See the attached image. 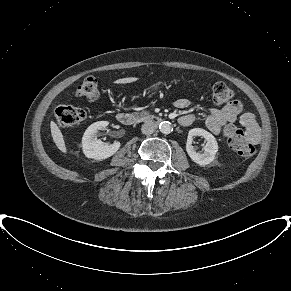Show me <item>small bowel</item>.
I'll return each instance as SVG.
<instances>
[{
    "instance_id": "1",
    "label": "small bowel",
    "mask_w": 291,
    "mask_h": 291,
    "mask_svg": "<svg viewBox=\"0 0 291 291\" xmlns=\"http://www.w3.org/2000/svg\"><path fill=\"white\" fill-rule=\"evenodd\" d=\"M175 106L179 109H185L190 106V101L186 98H180L175 101ZM239 119L245 127L246 134L250 142L256 144L260 140V127L255 116L251 113H242V104L239 101L228 102L222 108H210L206 118V127L213 134H220L223 127L228 122H234ZM195 120L192 113H186L179 118L182 126H189Z\"/></svg>"
}]
</instances>
